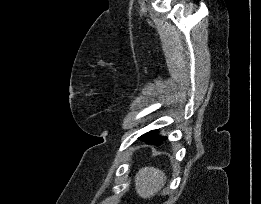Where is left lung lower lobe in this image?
Wrapping results in <instances>:
<instances>
[{"label":"left lung lower lobe","mask_w":261,"mask_h":204,"mask_svg":"<svg viewBox=\"0 0 261 204\" xmlns=\"http://www.w3.org/2000/svg\"><path fill=\"white\" fill-rule=\"evenodd\" d=\"M165 138L164 137H160V136H156L155 138H152L150 141H148L147 143H152V144H155V145H159L160 142L162 140H164Z\"/></svg>","instance_id":"left-lung-lower-lobe-1"}]
</instances>
